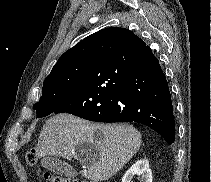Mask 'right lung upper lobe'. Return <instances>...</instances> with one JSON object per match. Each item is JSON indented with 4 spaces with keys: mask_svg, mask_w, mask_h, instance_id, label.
<instances>
[{
    "mask_svg": "<svg viewBox=\"0 0 211 182\" xmlns=\"http://www.w3.org/2000/svg\"><path fill=\"white\" fill-rule=\"evenodd\" d=\"M125 30H127V29H125ZM99 32L100 31H98L97 33L91 34L90 36L86 37L85 39L80 41L78 44H76L74 47H72L68 51H66L58 59L57 63L55 64L51 73L48 76H52L59 70L66 68V67L74 66L77 64H85V63L90 62ZM127 32H128L130 39L133 43L143 42L134 33L130 32L129 30H127Z\"/></svg>",
    "mask_w": 211,
    "mask_h": 182,
    "instance_id": "right-lung-upper-lobe-1",
    "label": "right lung upper lobe"
}]
</instances>
